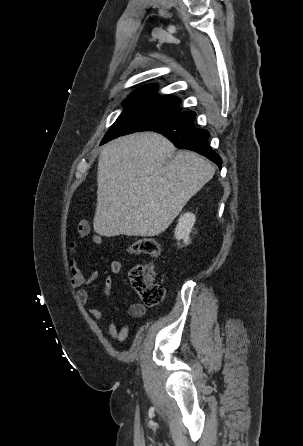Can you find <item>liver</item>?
Instances as JSON below:
<instances>
[{
	"mask_svg": "<svg viewBox=\"0 0 303 446\" xmlns=\"http://www.w3.org/2000/svg\"><path fill=\"white\" fill-rule=\"evenodd\" d=\"M158 133L117 138L101 151L94 231L102 236H157L212 179L215 168L179 151Z\"/></svg>",
	"mask_w": 303,
	"mask_h": 446,
	"instance_id": "obj_1",
	"label": "liver"
}]
</instances>
